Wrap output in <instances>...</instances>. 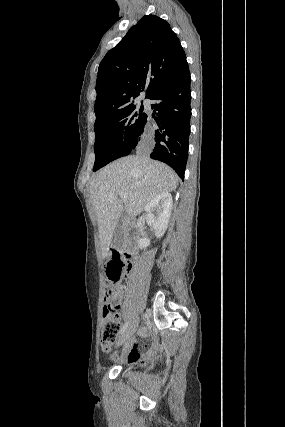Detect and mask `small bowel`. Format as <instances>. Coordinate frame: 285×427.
I'll use <instances>...</instances> for the list:
<instances>
[{"mask_svg": "<svg viewBox=\"0 0 285 427\" xmlns=\"http://www.w3.org/2000/svg\"><path fill=\"white\" fill-rule=\"evenodd\" d=\"M151 339L149 336L141 333L138 340L131 343V350L129 353V362L131 364H137V362L143 358L152 360L156 356L157 349L150 348Z\"/></svg>", "mask_w": 285, "mask_h": 427, "instance_id": "c3829d8e", "label": "small bowel"}]
</instances>
